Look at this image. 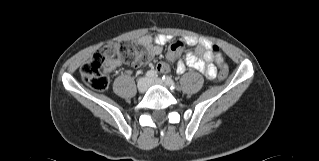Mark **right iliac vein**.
<instances>
[{
    "instance_id": "1",
    "label": "right iliac vein",
    "mask_w": 319,
    "mask_h": 161,
    "mask_svg": "<svg viewBox=\"0 0 319 161\" xmlns=\"http://www.w3.org/2000/svg\"><path fill=\"white\" fill-rule=\"evenodd\" d=\"M137 88L140 93H144L148 88V79L140 78L137 84Z\"/></svg>"
}]
</instances>
